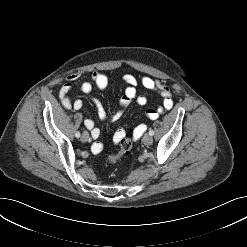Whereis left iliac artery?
<instances>
[{"label":"left iliac artery","mask_w":247,"mask_h":247,"mask_svg":"<svg viewBox=\"0 0 247 247\" xmlns=\"http://www.w3.org/2000/svg\"><path fill=\"white\" fill-rule=\"evenodd\" d=\"M149 134H150L151 136H153V135H154V131H153V130H150V131H149Z\"/></svg>","instance_id":"left-iliac-artery-1"}]
</instances>
